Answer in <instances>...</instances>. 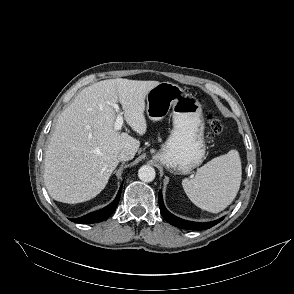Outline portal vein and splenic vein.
Here are the masks:
<instances>
[{"label":"portal vein and splenic vein","instance_id":"18ae733b","mask_svg":"<svg viewBox=\"0 0 294 294\" xmlns=\"http://www.w3.org/2000/svg\"><path fill=\"white\" fill-rule=\"evenodd\" d=\"M113 107L115 108L116 112H119L120 108L117 104H113ZM123 125V116H122V113L119 112L117 118H116V121L114 123V129L116 131H119L121 129Z\"/></svg>","mask_w":294,"mask_h":294}]
</instances>
